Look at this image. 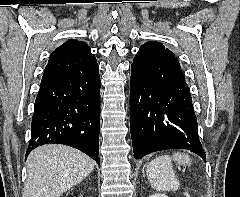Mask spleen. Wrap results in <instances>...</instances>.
<instances>
[{"label": "spleen", "instance_id": "1", "mask_svg": "<svg viewBox=\"0 0 240 197\" xmlns=\"http://www.w3.org/2000/svg\"><path fill=\"white\" fill-rule=\"evenodd\" d=\"M172 160L178 162L190 161L187 154L175 153L173 157L159 156L147 165V177L152 188L159 191H173L179 187V181L172 168Z\"/></svg>", "mask_w": 240, "mask_h": 197}]
</instances>
